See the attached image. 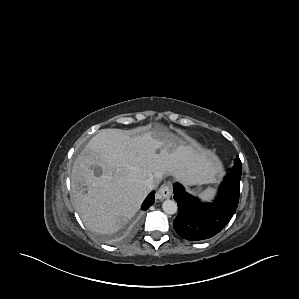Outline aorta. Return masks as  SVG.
<instances>
[{"instance_id": "obj_1", "label": "aorta", "mask_w": 299, "mask_h": 299, "mask_svg": "<svg viewBox=\"0 0 299 299\" xmlns=\"http://www.w3.org/2000/svg\"><path fill=\"white\" fill-rule=\"evenodd\" d=\"M163 211L166 214H175L178 210L177 203L173 200H165L162 204Z\"/></svg>"}]
</instances>
